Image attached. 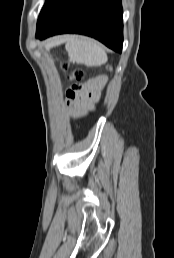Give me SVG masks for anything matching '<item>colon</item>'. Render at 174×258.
Here are the masks:
<instances>
[{"instance_id":"obj_1","label":"colon","mask_w":174,"mask_h":258,"mask_svg":"<svg viewBox=\"0 0 174 258\" xmlns=\"http://www.w3.org/2000/svg\"><path fill=\"white\" fill-rule=\"evenodd\" d=\"M64 69H67V65H63ZM67 78L69 81L73 82L72 86L70 87V89L68 90V94L72 97L77 96L81 89H82V83L81 81L84 78V72L81 69H75L73 71H70L67 74Z\"/></svg>"}]
</instances>
